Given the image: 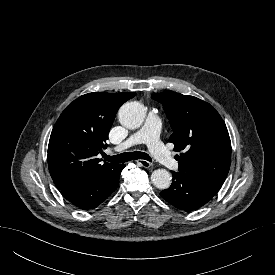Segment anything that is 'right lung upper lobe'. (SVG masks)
Listing matches in <instances>:
<instances>
[{
	"instance_id": "1",
	"label": "right lung upper lobe",
	"mask_w": 275,
	"mask_h": 275,
	"mask_svg": "<svg viewBox=\"0 0 275 275\" xmlns=\"http://www.w3.org/2000/svg\"><path fill=\"white\" fill-rule=\"evenodd\" d=\"M135 93L96 92L80 96L62 112L48 145V167L59 190L94 179L116 164H99L120 106Z\"/></svg>"
}]
</instances>
